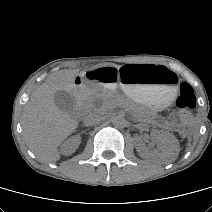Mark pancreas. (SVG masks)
I'll return each instance as SVG.
<instances>
[{
    "instance_id": "pancreas-1",
    "label": "pancreas",
    "mask_w": 212,
    "mask_h": 212,
    "mask_svg": "<svg viewBox=\"0 0 212 212\" xmlns=\"http://www.w3.org/2000/svg\"><path fill=\"white\" fill-rule=\"evenodd\" d=\"M102 98L104 104L103 109L109 110L116 106H123L126 109H128L134 118L139 122H148L151 120V115L142 107H139L135 105L134 103H131L129 100L124 99L123 97H119L111 92H105L102 94H96L94 92H89L84 100H83V106L86 109H89L93 107V102L96 98Z\"/></svg>"
}]
</instances>
